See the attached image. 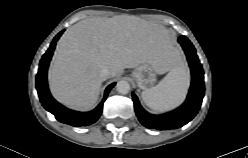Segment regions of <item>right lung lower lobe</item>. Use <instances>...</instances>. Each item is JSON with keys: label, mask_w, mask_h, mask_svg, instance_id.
I'll return each instance as SVG.
<instances>
[{"label": "right lung lower lobe", "mask_w": 248, "mask_h": 158, "mask_svg": "<svg viewBox=\"0 0 248 158\" xmlns=\"http://www.w3.org/2000/svg\"><path fill=\"white\" fill-rule=\"evenodd\" d=\"M63 32L64 30L58 33V35L54 38L49 49L40 61L39 71L36 76V88L43 107L52 113L58 121L72 126H87L93 124L100 117L103 103L106 100L109 91L115 86V83L110 84L106 88L102 102L91 112L84 113L72 111L58 103L49 92L47 84V70L56 46V42Z\"/></svg>", "instance_id": "1"}]
</instances>
